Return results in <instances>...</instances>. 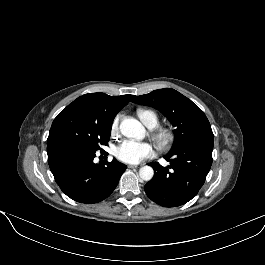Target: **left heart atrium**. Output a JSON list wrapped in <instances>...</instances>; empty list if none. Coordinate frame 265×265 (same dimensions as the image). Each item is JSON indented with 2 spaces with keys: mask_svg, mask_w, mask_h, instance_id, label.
Wrapping results in <instances>:
<instances>
[{
  "mask_svg": "<svg viewBox=\"0 0 265 265\" xmlns=\"http://www.w3.org/2000/svg\"><path fill=\"white\" fill-rule=\"evenodd\" d=\"M116 157L126 163H139L154 155V148L147 142L124 140L115 150Z\"/></svg>",
  "mask_w": 265,
  "mask_h": 265,
  "instance_id": "obj_1",
  "label": "left heart atrium"
}]
</instances>
